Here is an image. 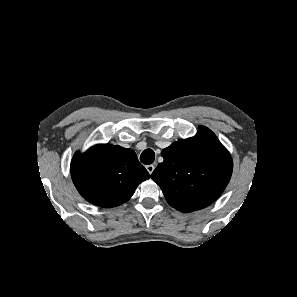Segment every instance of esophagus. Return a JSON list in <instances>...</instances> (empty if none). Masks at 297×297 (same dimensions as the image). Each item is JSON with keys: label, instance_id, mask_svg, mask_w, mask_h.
Segmentation results:
<instances>
[{"label": "esophagus", "instance_id": "esophagus-1", "mask_svg": "<svg viewBox=\"0 0 297 297\" xmlns=\"http://www.w3.org/2000/svg\"><path fill=\"white\" fill-rule=\"evenodd\" d=\"M146 169H147V171L149 172V174H152V172H153L154 169H155V166H154V165H147V166H146Z\"/></svg>", "mask_w": 297, "mask_h": 297}]
</instances>
